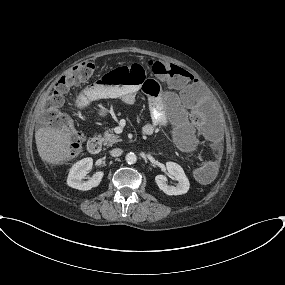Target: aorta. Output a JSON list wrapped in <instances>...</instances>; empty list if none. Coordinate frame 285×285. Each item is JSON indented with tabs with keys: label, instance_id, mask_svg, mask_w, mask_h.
<instances>
[{
	"label": "aorta",
	"instance_id": "1",
	"mask_svg": "<svg viewBox=\"0 0 285 285\" xmlns=\"http://www.w3.org/2000/svg\"><path fill=\"white\" fill-rule=\"evenodd\" d=\"M125 159L128 164H135L137 161V156L135 155V153L130 152V153H127Z\"/></svg>",
	"mask_w": 285,
	"mask_h": 285
}]
</instances>
